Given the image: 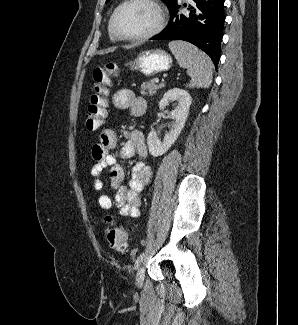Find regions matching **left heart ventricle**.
Returning <instances> with one entry per match:
<instances>
[{
  "label": "left heart ventricle",
  "instance_id": "left-heart-ventricle-1",
  "mask_svg": "<svg viewBox=\"0 0 298 325\" xmlns=\"http://www.w3.org/2000/svg\"><path fill=\"white\" fill-rule=\"evenodd\" d=\"M154 23L155 16L148 7L130 5L119 12L116 29L124 39H132L148 31Z\"/></svg>",
  "mask_w": 298,
  "mask_h": 325
}]
</instances>
